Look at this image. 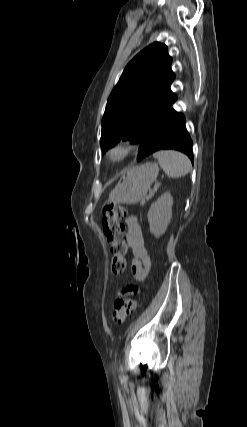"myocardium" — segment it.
Here are the masks:
<instances>
[{
    "label": "myocardium",
    "instance_id": "f54148a6",
    "mask_svg": "<svg viewBox=\"0 0 247 427\" xmlns=\"http://www.w3.org/2000/svg\"><path fill=\"white\" fill-rule=\"evenodd\" d=\"M132 144L128 141H121L113 145L106 153V158L110 163L117 164L123 162L132 152Z\"/></svg>",
    "mask_w": 247,
    "mask_h": 427
}]
</instances>
